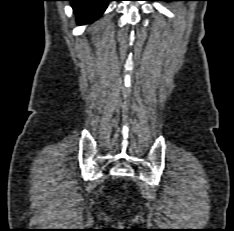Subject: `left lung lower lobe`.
Returning a JSON list of instances; mask_svg holds the SVG:
<instances>
[{"label": "left lung lower lobe", "instance_id": "0a47b994", "mask_svg": "<svg viewBox=\"0 0 234 231\" xmlns=\"http://www.w3.org/2000/svg\"><path fill=\"white\" fill-rule=\"evenodd\" d=\"M161 1H176V0H161Z\"/></svg>", "mask_w": 234, "mask_h": 231}]
</instances>
